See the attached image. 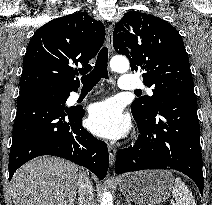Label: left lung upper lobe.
<instances>
[{
    "label": "left lung upper lobe",
    "instance_id": "1",
    "mask_svg": "<svg viewBox=\"0 0 212 205\" xmlns=\"http://www.w3.org/2000/svg\"><path fill=\"white\" fill-rule=\"evenodd\" d=\"M113 45L130 60L132 71H143L153 95L136 99L132 113L148 118L169 98L194 94L188 54L178 31L161 18L128 12L114 29Z\"/></svg>",
    "mask_w": 212,
    "mask_h": 205
}]
</instances>
